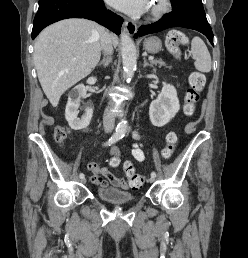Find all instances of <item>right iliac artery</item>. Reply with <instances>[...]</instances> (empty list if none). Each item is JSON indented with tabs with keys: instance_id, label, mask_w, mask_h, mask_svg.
Here are the masks:
<instances>
[{
	"instance_id": "right-iliac-artery-1",
	"label": "right iliac artery",
	"mask_w": 248,
	"mask_h": 258,
	"mask_svg": "<svg viewBox=\"0 0 248 258\" xmlns=\"http://www.w3.org/2000/svg\"><path fill=\"white\" fill-rule=\"evenodd\" d=\"M122 138V134H120V133H115L106 143H105V145H111V144H113V143H115V142H117L119 139H121ZM79 177H80V179H83L84 177H85V175L83 174V173H80V175H79Z\"/></svg>"
}]
</instances>
